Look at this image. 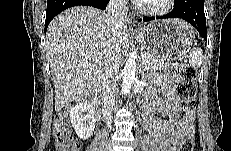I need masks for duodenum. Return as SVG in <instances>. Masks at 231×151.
Instances as JSON below:
<instances>
[{"label":"duodenum","instance_id":"obj_1","mask_svg":"<svg viewBox=\"0 0 231 151\" xmlns=\"http://www.w3.org/2000/svg\"><path fill=\"white\" fill-rule=\"evenodd\" d=\"M97 115L99 116V115H100V113H99V112H97Z\"/></svg>","mask_w":231,"mask_h":151}]
</instances>
